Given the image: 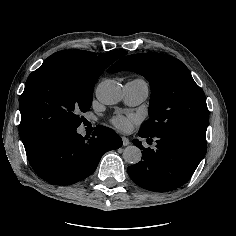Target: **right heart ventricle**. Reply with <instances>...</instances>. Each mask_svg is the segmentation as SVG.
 Here are the masks:
<instances>
[{
  "instance_id": "e07e8e85",
  "label": "right heart ventricle",
  "mask_w": 236,
  "mask_h": 236,
  "mask_svg": "<svg viewBox=\"0 0 236 236\" xmlns=\"http://www.w3.org/2000/svg\"><path fill=\"white\" fill-rule=\"evenodd\" d=\"M137 80L140 81V82H142V83H144V84H146L145 81H143V80H141V79H137Z\"/></svg>"
}]
</instances>
